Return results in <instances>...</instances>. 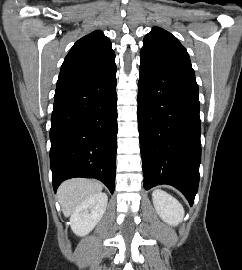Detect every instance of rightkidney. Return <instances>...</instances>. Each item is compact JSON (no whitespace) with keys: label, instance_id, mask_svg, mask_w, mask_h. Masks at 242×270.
Listing matches in <instances>:
<instances>
[{"label":"right kidney","instance_id":"1","mask_svg":"<svg viewBox=\"0 0 242 270\" xmlns=\"http://www.w3.org/2000/svg\"><path fill=\"white\" fill-rule=\"evenodd\" d=\"M107 202L108 197L105 193H97L85 199L71 215L72 231L78 236L87 235L101 220Z\"/></svg>","mask_w":242,"mask_h":270}]
</instances>
